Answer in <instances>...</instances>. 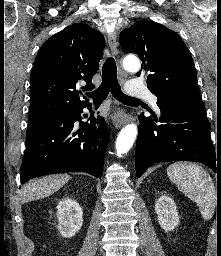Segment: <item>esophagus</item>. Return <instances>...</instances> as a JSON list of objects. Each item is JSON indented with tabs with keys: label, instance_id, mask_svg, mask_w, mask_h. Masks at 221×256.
Instances as JSON below:
<instances>
[{
	"label": "esophagus",
	"instance_id": "1",
	"mask_svg": "<svg viewBox=\"0 0 221 256\" xmlns=\"http://www.w3.org/2000/svg\"><path fill=\"white\" fill-rule=\"evenodd\" d=\"M107 41H108V45H109V48H110L112 54L114 55V57L118 61V57H117V54H118V51H117L118 43H117L116 34L114 32L108 33ZM119 74H120L121 77L123 76V71L121 70L120 67H119ZM130 120H131V118L127 114H123V115L115 114L114 117H113V124H114V126L116 128H120L123 125H125L127 122H129Z\"/></svg>",
	"mask_w": 221,
	"mask_h": 256
}]
</instances>
